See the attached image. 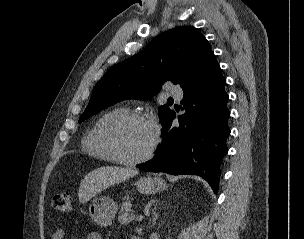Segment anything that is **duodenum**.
<instances>
[{
	"instance_id": "1",
	"label": "duodenum",
	"mask_w": 304,
	"mask_h": 239,
	"mask_svg": "<svg viewBox=\"0 0 304 239\" xmlns=\"http://www.w3.org/2000/svg\"><path fill=\"white\" fill-rule=\"evenodd\" d=\"M132 239H141V238L136 236V237H134V238H132Z\"/></svg>"
}]
</instances>
